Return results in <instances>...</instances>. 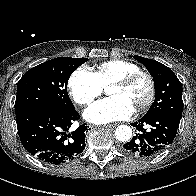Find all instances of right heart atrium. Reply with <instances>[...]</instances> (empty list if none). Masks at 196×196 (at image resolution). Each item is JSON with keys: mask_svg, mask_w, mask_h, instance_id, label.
Segmentation results:
<instances>
[{"mask_svg": "<svg viewBox=\"0 0 196 196\" xmlns=\"http://www.w3.org/2000/svg\"><path fill=\"white\" fill-rule=\"evenodd\" d=\"M68 88L72 100L82 106L90 105L103 91L96 74L86 67L71 74Z\"/></svg>", "mask_w": 196, "mask_h": 196, "instance_id": "d8ad5b80", "label": "right heart atrium"}]
</instances>
